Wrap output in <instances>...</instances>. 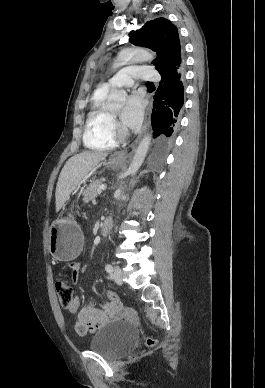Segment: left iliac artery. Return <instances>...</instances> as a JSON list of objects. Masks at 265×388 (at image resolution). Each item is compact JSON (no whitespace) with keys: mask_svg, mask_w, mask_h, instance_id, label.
<instances>
[{"mask_svg":"<svg viewBox=\"0 0 265 388\" xmlns=\"http://www.w3.org/2000/svg\"><path fill=\"white\" fill-rule=\"evenodd\" d=\"M105 269L108 273L113 272V266L111 264H106Z\"/></svg>","mask_w":265,"mask_h":388,"instance_id":"obj_1","label":"left iliac artery"}]
</instances>
